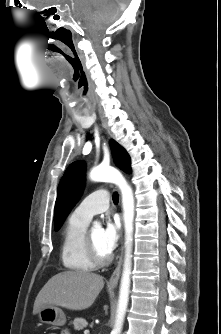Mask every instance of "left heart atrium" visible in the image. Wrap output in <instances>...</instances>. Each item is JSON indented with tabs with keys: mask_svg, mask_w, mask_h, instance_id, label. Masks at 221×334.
I'll return each mask as SVG.
<instances>
[{
	"mask_svg": "<svg viewBox=\"0 0 221 334\" xmlns=\"http://www.w3.org/2000/svg\"><path fill=\"white\" fill-rule=\"evenodd\" d=\"M120 222L117 219H108L102 229V246L111 253L117 246L120 237Z\"/></svg>",
	"mask_w": 221,
	"mask_h": 334,
	"instance_id": "1",
	"label": "left heart atrium"
}]
</instances>
